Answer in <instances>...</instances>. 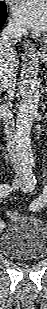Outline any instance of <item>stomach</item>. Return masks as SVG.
Segmentation results:
<instances>
[{
    "label": "stomach",
    "mask_w": 47,
    "mask_h": 309,
    "mask_svg": "<svg viewBox=\"0 0 47 309\" xmlns=\"http://www.w3.org/2000/svg\"><path fill=\"white\" fill-rule=\"evenodd\" d=\"M43 61L47 62V52L43 56L40 57Z\"/></svg>",
    "instance_id": "1"
}]
</instances>
